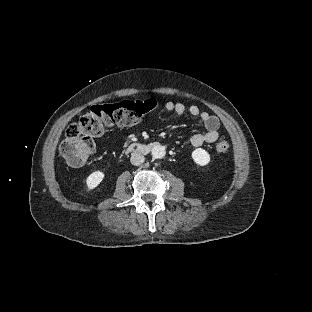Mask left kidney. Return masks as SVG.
<instances>
[{
	"label": "left kidney",
	"instance_id": "1",
	"mask_svg": "<svg viewBox=\"0 0 312 312\" xmlns=\"http://www.w3.org/2000/svg\"><path fill=\"white\" fill-rule=\"evenodd\" d=\"M194 162L200 166H205L210 162V155L202 148H197L192 152Z\"/></svg>",
	"mask_w": 312,
	"mask_h": 312
}]
</instances>
